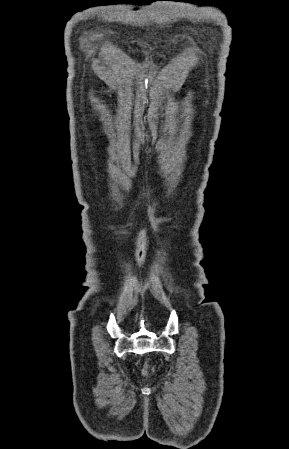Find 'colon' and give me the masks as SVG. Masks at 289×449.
I'll return each instance as SVG.
<instances>
[{"label": "colon", "mask_w": 289, "mask_h": 449, "mask_svg": "<svg viewBox=\"0 0 289 449\" xmlns=\"http://www.w3.org/2000/svg\"><path fill=\"white\" fill-rule=\"evenodd\" d=\"M147 371H148V370H147V369H145V371H144V372H145V373H147Z\"/></svg>", "instance_id": "colon-1"}]
</instances>
